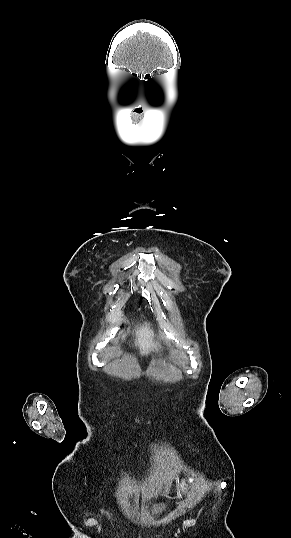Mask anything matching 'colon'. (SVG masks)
<instances>
[{"mask_svg": "<svg viewBox=\"0 0 291 538\" xmlns=\"http://www.w3.org/2000/svg\"><path fill=\"white\" fill-rule=\"evenodd\" d=\"M186 485H187V482H186V481H182V482L179 483V486H180V488H181L182 490H184V488L186 487Z\"/></svg>", "mask_w": 291, "mask_h": 538, "instance_id": "colon-1", "label": "colon"}]
</instances>
